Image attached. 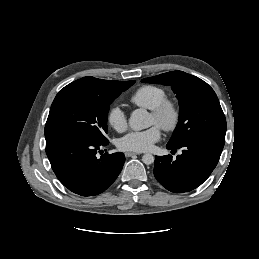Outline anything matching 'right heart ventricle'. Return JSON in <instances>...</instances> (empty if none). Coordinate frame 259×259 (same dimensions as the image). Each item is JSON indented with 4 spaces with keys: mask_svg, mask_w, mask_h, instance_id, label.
<instances>
[{
    "mask_svg": "<svg viewBox=\"0 0 259 259\" xmlns=\"http://www.w3.org/2000/svg\"><path fill=\"white\" fill-rule=\"evenodd\" d=\"M166 96V91L159 86L143 85L131 95L130 102L136 106L152 110L166 99Z\"/></svg>",
    "mask_w": 259,
    "mask_h": 259,
    "instance_id": "1",
    "label": "right heart ventricle"
}]
</instances>
